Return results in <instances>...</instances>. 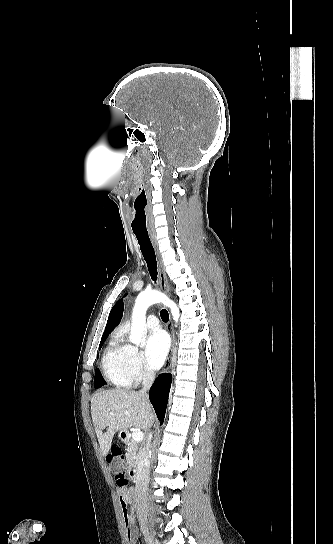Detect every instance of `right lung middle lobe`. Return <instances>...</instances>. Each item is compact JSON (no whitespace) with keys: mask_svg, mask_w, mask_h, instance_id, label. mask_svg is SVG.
Segmentation results:
<instances>
[{"mask_svg":"<svg viewBox=\"0 0 333 544\" xmlns=\"http://www.w3.org/2000/svg\"><path fill=\"white\" fill-rule=\"evenodd\" d=\"M106 338H102L101 339V342H100V346H99V349H101L104 341H105ZM104 379L100 373V371L98 369H96L95 371V379H94V387L95 388H100L104 385Z\"/></svg>","mask_w":333,"mask_h":544,"instance_id":"1","label":"right lung middle lobe"}]
</instances>
